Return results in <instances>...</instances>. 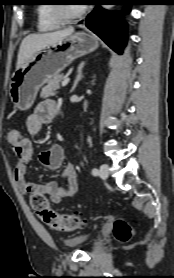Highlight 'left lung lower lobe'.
<instances>
[{
  "instance_id": "left-lung-lower-lobe-1",
  "label": "left lung lower lobe",
  "mask_w": 174,
  "mask_h": 278,
  "mask_svg": "<svg viewBox=\"0 0 174 278\" xmlns=\"http://www.w3.org/2000/svg\"><path fill=\"white\" fill-rule=\"evenodd\" d=\"M99 2L96 4L95 9L87 16L85 24L114 51L121 54L122 49L126 45L127 27L122 22L120 15L104 10L100 5L105 3L126 5V11L128 12L132 4L129 0H99Z\"/></svg>"
}]
</instances>
